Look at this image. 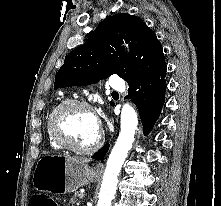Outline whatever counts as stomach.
<instances>
[{
	"label": "stomach",
	"mask_w": 221,
	"mask_h": 206,
	"mask_svg": "<svg viewBox=\"0 0 221 206\" xmlns=\"http://www.w3.org/2000/svg\"><path fill=\"white\" fill-rule=\"evenodd\" d=\"M99 172L65 155H46L36 164L32 183L37 191L67 194L96 181Z\"/></svg>",
	"instance_id": "stomach-1"
}]
</instances>
